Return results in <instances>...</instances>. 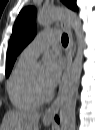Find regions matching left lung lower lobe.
Segmentation results:
<instances>
[{
    "label": "left lung lower lobe",
    "instance_id": "1",
    "mask_svg": "<svg viewBox=\"0 0 95 130\" xmlns=\"http://www.w3.org/2000/svg\"><path fill=\"white\" fill-rule=\"evenodd\" d=\"M55 119H56V121H57V122H59V119H58V117H57V116H56V118H55Z\"/></svg>",
    "mask_w": 95,
    "mask_h": 130
}]
</instances>
